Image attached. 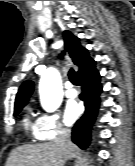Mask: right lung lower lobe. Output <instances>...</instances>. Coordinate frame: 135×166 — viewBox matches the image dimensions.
<instances>
[{
  "mask_svg": "<svg viewBox=\"0 0 135 166\" xmlns=\"http://www.w3.org/2000/svg\"><path fill=\"white\" fill-rule=\"evenodd\" d=\"M95 61L79 71L78 77L82 86L80 99L84 101L85 112L72 128V141L85 149L90 143V130L96 119L99 108V95L102 92L100 74Z\"/></svg>",
  "mask_w": 135,
  "mask_h": 166,
  "instance_id": "right-lung-lower-lobe-1",
  "label": "right lung lower lobe"
}]
</instances>
